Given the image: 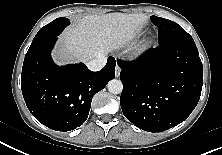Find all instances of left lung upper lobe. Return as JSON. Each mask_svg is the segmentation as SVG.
Returning <instances> with one entry per match:
<instances>
[{
  "mask_svg": "<svg viewBox=\"0 0 222 155\" xmlns=\"http://www.w3.org/2000/svg\"><path fill=\"white\" fill-rule=\"evenodd\" d=\"M151 21L159 29V44H166L176 41H194L177 23L157 16H151Z\"/></svg>",
  "mask_w": 222,
  "mask_h": 155,
  "instance_id": "obj_1",
  "label": "left lung upper lobe"
}]
</instances>
